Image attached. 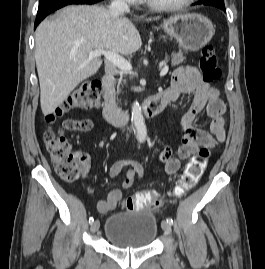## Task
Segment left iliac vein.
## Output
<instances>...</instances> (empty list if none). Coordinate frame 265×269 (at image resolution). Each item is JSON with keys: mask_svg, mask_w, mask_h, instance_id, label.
Instances as JSON below:
<instances>
[{"mask_svg": "<svg viewBox=\"0 0 265 269\" xmlns=\"http://www.w3.org/2000/svg\"><path fill=\"white\" fill-rule=\"evenodd\" d=\"M161 226H162L163 231H164L166 234H170V233H171V225H170L168 222L163 221V222L161 223Z\"/></svg>", "mask_w": 265, "mask_h": 269, "instance_id": "4c4485c4", "label": "left iliac vein"}]
</instances>
